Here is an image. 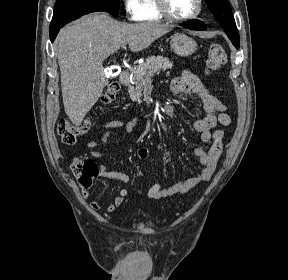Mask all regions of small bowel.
<instances>
[{
  "label": "small bowel",
  "mask_w": 288,
  "mask_h": 280,
  "mask_svg": "<svg viewBox=\"0 0 288 280\" xmlns=\"http://www.w3.org/2000/svg\"><path fill=\"white\" fill-rule=\"evenodd\" d=\"M170 88L174 94L193 95L203 106L205 116L194 120L192 123L194 129L200 134L201 142L203 144H209L207 150L199 147L194 151L202 168L195 175L180 180L168 187H162L160 181L157 180L145 192L139 189L132 190L130 188H122L113 201L107 205L106 211L108 213L115 211L116 208L121 206L132 191L150 199L167 198L176 194H184L193 187L209 181L215 172L222 152L224 138V131L215 128L217 125L227 126L231 123V117L227 112V106L208 91L197 75L188 70L181 71L180 74L172 80ZM135 124L136 120L128 122L112 120L104 124L99 133L101 138L97 139L94 137L87 143V147L91 150L90 155L93 158L101 159L103 155L97 149L107 142L109 136L117 130L132 132ZM137 156L140 159H146L148 157V149L145 147L139 148ZM99 169V175L102 178L119 180L123 183H128L130 181V177L127 174L119 171H111L104 164L100 165ZM82 196L87 200L90 197V192L87 189H83ZM90 207L97 210L101 207V204L98 200H92L90 202Z\"/></svg>",
  "instance_id": "small-bowel-1"
}]
</instances>
